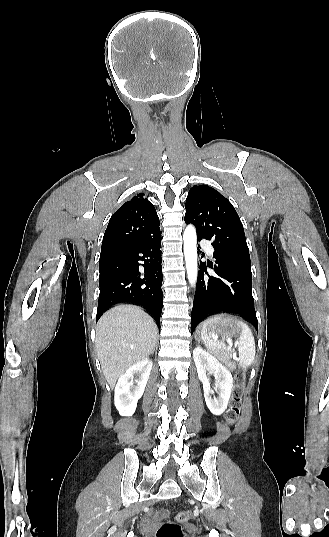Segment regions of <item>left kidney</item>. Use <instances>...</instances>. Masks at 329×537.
<instances>
[{
	"instance_id": "1",
	"label": "left kidney",
	"mask_w": 329,
	"mask_h": 537,
	"mask_svg": "<svg viewBox=\"0 0 329 537\" xmlns=\"http://www.w3.org/2000/svg\"><path fill=\"white\" fill-rule=\"evenodd\" d=\"M193 358L200 381L203 384L204 398L207 407L214 415H221L227 408L232 388L233 378L230 371L213 355L201 347L193 350ZM213 369L215 377V390L219 392L218 398H212L213 390L210 387L206 371Z\"/></svg>"
}]
</instances>
